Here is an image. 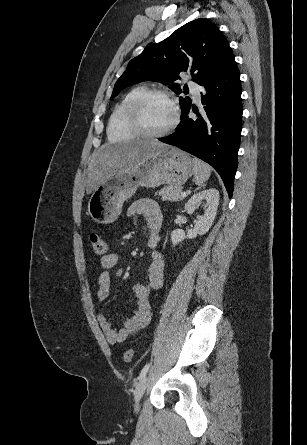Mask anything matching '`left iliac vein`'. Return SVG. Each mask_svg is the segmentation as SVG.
<instances>
[{
  "label": "left iliac vein",
  "instance_id": "1",
  "mask_svg": "<svg viewBox=\"0 0 307 445\" xmlns=\"http://www.w3.org/2000/svg\"><path fill=\"white\" fill-rule=\"evenodd\" d=\"M147 385V377L144 376L140 381L138 382L135 392H134V400H135V410L138 411L139 409V402L145 392Z\"/></svg>",
  "mask_w": 307,
  "mask_h": 445
}]
</instances>
